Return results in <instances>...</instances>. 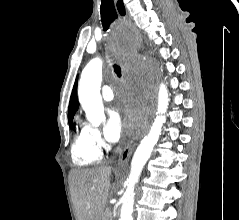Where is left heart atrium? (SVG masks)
Wrapping results in <instances>:
<instances>
[{
	"mask_svg": "<svg viewBox=\"0 0 239 220\" xmlns=\"http://www.w3.org/2000/svg\"><path fill=\"white\" fill-rule=\"evenodd\" d=\"M119 102L122 104L123 113L127 116V121L124 122L119 114L118 108H112L109 112V117L104 128V135L107 141L114 143L117 142L122 133L124 127L138 126L140 124V118L136 117L130 107V101L126 94H121L118 97Z\"/></svg>",
	"mask_w": 239,
	"mask_h": 220,
	"instance_id": "obj_1",
	"label": "left heart atrium"
}]
</instances>
